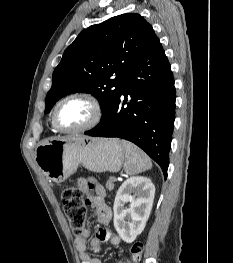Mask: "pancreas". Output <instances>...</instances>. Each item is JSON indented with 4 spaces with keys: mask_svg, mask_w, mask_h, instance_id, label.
<instances>
[{
    "mask_svg": "<svg viewBox=\"0 0 233 263\" xmlns=\"http://www.w3.org/2000/svg\"><path fill=\"white\" fill-rule=\"evenodd\" d=\"M106 188L109 191L113 190V188H114V181L111 178L106 182Z\"/></svg>",
    "mask_w": 233,
    "mask_h": 263,
    "instance_id": "pancreas-1",
    "label": "pancreas"
}]
</instances>
